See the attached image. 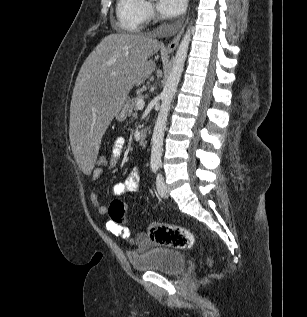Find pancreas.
Listing matches in <instances>:
<instances>
[{
    "label": "pancreas",
    "mask_w": 307,
    "mask_h": 317,
    "mask_svg": "<svg viewBox=\"0 0 307 317\" xmlns=\"http://www.w3.org/2000/svg\"><path fill=\"white\" fill-rule=\"evenodd\" d=\"M139 100H143V97L141 95V91L140 90H138L136 92V97L134 99H132L131 103H129L128 106H127V110H128V115L129 116H134L136 114L137 102Z\"/></svg>",
    "instance_id": "pancreas-1"
}]
</instances>
